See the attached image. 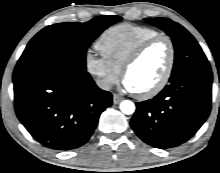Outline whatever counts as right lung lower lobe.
Here are the masks:
<instances>
[{
	"label": "right lung lower lobe",
	"instance_id": "obj_1",
	"mask_svg": "<svg viewBox=\"0 0 220 173\" xmlns=\"http://www.w3.org/2000/svg\"><path fill=\"white\" fill-rule=\"evenodd\" d=\"M13 82L19 120L35 140L55 150L84 145L112 105V95L85 69L63 60L17 64Z\"/></svg>",
	"mask_w": 220,
	"mask_h": 173
}]
</instances>
